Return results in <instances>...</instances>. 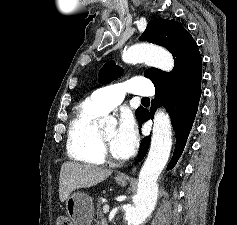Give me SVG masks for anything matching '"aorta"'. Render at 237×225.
Wrapping results in <instances>:
<instances>
[{
	"mask_svg": "<svg viewBox=\"0 0 237 225\" xmlns=\"http://www.w3.org/2000/svg\"><path fill=\"white\" fill-rule=\"evenodd\" d=\"M122 59L126 63L145 62L164 71L173 69L172 55L163 48L150 44H136L123 51ZM116 124L113 117L100 120V125ZM172 147L171 121L164 111L158 110L154 117L151 145L147 159L140 171L137 193L133 206L125 210L127 225H140L153 210L157 194V179L166 166Z\"/></svg>",
	"mask_w": 237,
	"mask_h": 225,
	"instance_id": "1",
	"label": "aorta"
}]
</instances>
